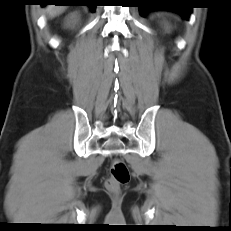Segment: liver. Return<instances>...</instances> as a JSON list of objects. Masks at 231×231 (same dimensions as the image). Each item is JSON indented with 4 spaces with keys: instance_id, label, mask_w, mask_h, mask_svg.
<instances>
[{
    "instance_id": "6515ba94",
    "label": "liver",
    "mask_w": 231,
    "mask_h": 231,
    "mask_svg": "<svg viewBox=\"0 0 231 231\" xmlns=\"http://www.w3.org/2000/svg\"><path fill=\"white\" fill-rule=\"evenodd\" d=\"M66 7L64 6H55V5H48L45 8L46 14L50 17L53 18L65 11Z\"/></svg>"
}]
</instances>
